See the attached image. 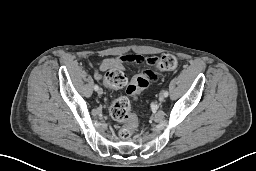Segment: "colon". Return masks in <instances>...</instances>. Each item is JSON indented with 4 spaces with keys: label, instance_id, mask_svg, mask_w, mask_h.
Wrapping results in <instances>:
<instances>
[{
    "label": "colon",
    "instance_id": "obj_1",
    "mask_svg": "<svg viewBox=\"0 0 256 171\" xmlns=\"http://www.w3.org/2000/svg\"><path fill=\"white\" fill-rule=\"evenodd\" d=\"M152 65L158 71H171L177 66V58L172 54H164L158 58L155 57ZM104 81L108 87L119 89L126 85L127 77L122 70L113 69L106 73ZM147 86V78L138 74L127 86V93L137 97ZM109 113L113 120L123 124L119 132L120 138L123 140L130 139L138 124L137 117L131 112L130 100L126 96L115 98L109 106Z\"/></svg>",
    "mask_w": 256,
    "mask_h": 171
}]
</instances>
